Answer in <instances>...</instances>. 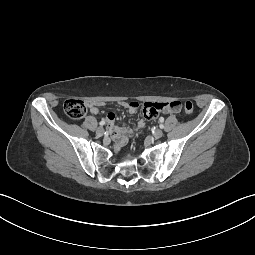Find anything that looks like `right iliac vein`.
Here are the masks:
<instances>
[{"instance_id":"1","label":"right iliac vein","mask_w":255,"mask_h":255,"mask_svg":"<svg viewBox=\"0 0 255 255\" xmlns=\"http://www.w3.org/2000/svg\"><path fill=\"white\" fill-rule=\"evenodd\" d=\"M96 133H97L99 136H102V135L104 134V129H103L102 127H99V128H97Z\"/></svg>"}]
</instances>
